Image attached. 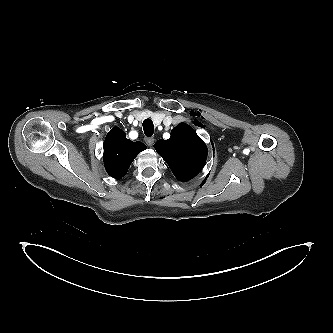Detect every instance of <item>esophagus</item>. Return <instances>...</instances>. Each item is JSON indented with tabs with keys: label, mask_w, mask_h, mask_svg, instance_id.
<instances>
[{
	"label": "esophagus",
	"mask_w": 333,
	"mask_h": 333,
	"mask_svg": "<svg viewBox=\"0 0 333 333\" xmlns=\"http://www.w3.org/2000/svg\"><path fill=\"white\" fill-rule=\"evenodd\" d=\"M155 139L154 138H145V142L148 146H152L154 144Z\"/></svg>",
	"instance_id": "1"
}]
</instances>
